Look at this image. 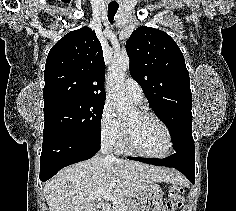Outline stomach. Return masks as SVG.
I'll list each match as a JSON object with an SVG mask.
<instances>
[{
  "mask_svg": "<svg viewBox=\"0 0 236 211\" xmlns=\"http://www.w3.org/2000/svg\"><path fill=\"white\" fill-rule=\"evenodd\" d=\"M162 199V189L157 184H153L140 195L139 209L140 211H161Z\"/></svg>",
  "mask_w": 236,
  "mask_h": 211,
  "instance_id": "0dacf381",
  "label": "stomach"
}]
</instances>
